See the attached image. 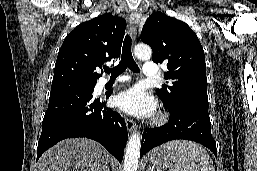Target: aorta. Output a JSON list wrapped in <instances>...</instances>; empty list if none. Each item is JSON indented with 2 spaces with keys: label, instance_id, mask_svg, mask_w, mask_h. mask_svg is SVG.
I'll list each match as a JSON object with an SVG mask.
<instances>
[{
  "label": "aorta",
  "instance_id": "obj_1",
  "mask_svg": "<svg viewBox=\"0 0 257 171\" xmlns=\"http://www.w3.org/2000/svg\"><path fill=\"white\" fill-rule=\"evenodd\" d=\"M134 54L139 59H150L152 50L148 45L138 44L135 46ZM141 137L135 132L130 137L124 155V171H137L140 155Z\"/></svg>",
  "mask_w": 257,
  "mask_h": 171
}]
</instances>
